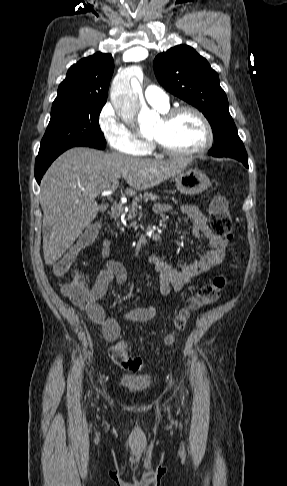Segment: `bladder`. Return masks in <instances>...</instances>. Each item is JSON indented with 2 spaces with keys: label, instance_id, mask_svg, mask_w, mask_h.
<instances>
[{
  "label": "bladder",
  "instance_id": "31cf9c89",
  "mask_svg": "<svg viewBox=\"0 0 287 486\" xmlns=\"http://www.w3.org/2000/svg\"><path fill=\"white\" fill-rule=\"evenodd\" d=\"M121 385L132 392H143L151 385V379L145 375H124L120 380Z\"/></svg>",
  "mask_w": 287,
  "mask_h": 486
}]
</instances>
